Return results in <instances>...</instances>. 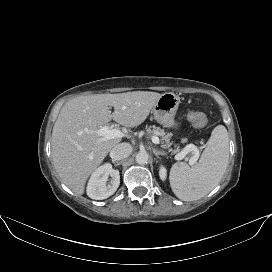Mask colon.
I'll return each mask as SVG.
<instances>
[{
  "instance_id": "5ec220e1",
  "label": "colon",
  "mask_w": 272,
  "mask_h": 272,
  "mask_svg": "<svg viewBox=\"0 0 272 272\" xmlns=\"http://www.w3.org/2000/svg\"><path fill=\"white\" fill-rule=\"evenodd\" d=\"M187 117L188 120L197 128H204L207 125V118L203 112L190 111Z\"/></svg>"
}]
</instances>
